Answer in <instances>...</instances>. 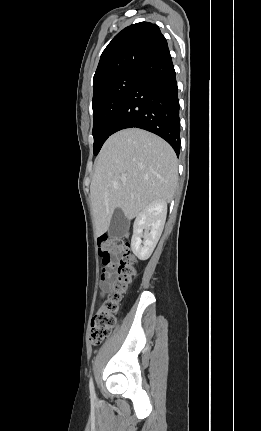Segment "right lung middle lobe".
Here are the masks:
<instances>
[{
  "instance_id": "obj_1",
  "label": "right lung middle lobe",
  "mask_w": 261,
  "mask_h": 431,
  "mask_svg": "<svg viewBox=\"0 0 261 431\" xmlns=\"http://www.w3.org/2000/svg\"><path fill=\"white\" fill-rule=\"evenodd\" d=\"M138 71L120 74L93 91V152L97 155L107 138Z\"/></svg>"
}]
</instances>
